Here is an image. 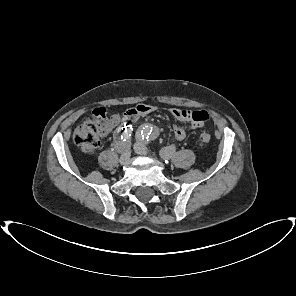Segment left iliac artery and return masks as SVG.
I'll return each mask as SVG.
<instances>
[{
	"mask_svg": "<svg viewBox=\"0 0 296 296\" xmlns=\"http://www.w3.org/2000/svg\"><path fill=\"white\" fill-rule=\"evenodd\" d=\"M137 139L147 141V143L154 138V132L152 131V128H148L146 126L140 129L136 135Z\"/></svg>",
	"mask_w": 296,
	"mask_h": 296,
	"instance_id": "1",
	"label": "left iliac artery"
}]
</instances>
